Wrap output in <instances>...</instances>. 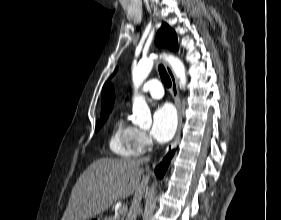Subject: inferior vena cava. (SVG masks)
<instances>
[{
	"instance_id": "1",
	"label": "inferior vena cava",
	"mask_w": 281,
	"mask_h": 220,
	"mask_svg": "<svg viewBox=\"0 0 281 220\" xmlns=\"http://www.w3.org/2000/svg\"><path fill=\"white\" fill-rule=\"evenodd\" d=\"M149 161H150V156L148 155L144 158L139 159L138 163L143 164V163H148ZM145 188H146V186H145V182H144L141 184V186H139L135 190L134 197L131 202V206H130L129 212L127 214L126 220H136Z\"/></svg>"
}]
</instances>
